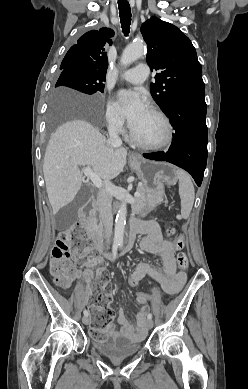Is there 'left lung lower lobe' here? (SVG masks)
I'll use <instances>...</instances> for the list:
<instances>
[{
	"instance_id": "1",
	"label": "left lung lower lobe",
	"mask_w": 248,
	"mask_h": 389,
	"mask_svg": "<svg viewBox=\"0 0 248 389\" xmlns=\"http://www.w3.org/2000/svg\"><path fill=\"white\" fill-rule=\"evenodd\" d=\"M206 111L205 90L193 91L178 98L165 112L175 130L170 149L143 156L164 160L185 169L200 186L207 163Z\"/></svg>"
}]
</instances>
